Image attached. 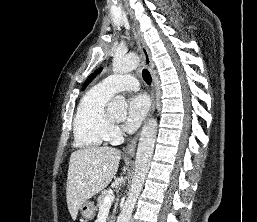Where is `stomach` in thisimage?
<instances>
[{
	"instance_id": "0dacf381",
	"label": "stomach",
	"mask_w": 257,
	"mask_h": 222,
	"mask_svg": "<svg viewBox=\"0 0 257 222\" xmlns=\"http://www.w3.org/2000/svg\"><path fill=\"white\" fill-rule=\"evenodd\" d=\"M81 216L86 220H91L95 216V207L93 202L85 201L79 208Z\"/></svg>"
}]
</instances>
